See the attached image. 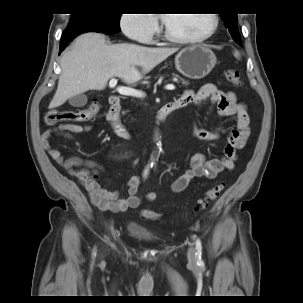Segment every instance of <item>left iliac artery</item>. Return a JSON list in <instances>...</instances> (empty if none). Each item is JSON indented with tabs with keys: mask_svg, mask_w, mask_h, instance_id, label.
Listing matches in <instances>:
<instances>
[{
	"mask_svg": "<svg viewBox=\"0 0 303 303\" xmlns=\"http://www.w3.org/2000/svg\"><path fill=\"white\" fill-rule=\"evenodd\" d=\"M201 254H202V244H201L200 239L198 238L196 240V256H197V261L198 262L202 261Z\"/></svg>",
	"mask_w": 303,
	"mask_h": 303,
	"instance_id": "1",
	"label": "left iliac artery"
}]
</instances>
